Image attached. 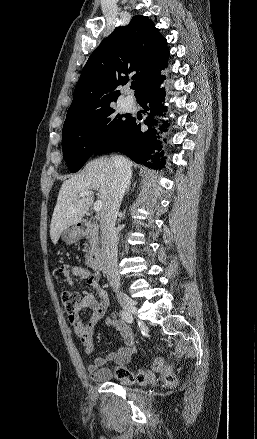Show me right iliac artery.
I'll return each mask as SVG.
<instances>
[{
  "label": "right iliac artery",
  "instance_id": "obj_1",
  "mask_svg": "<svg viewBox=\"0 0 257 439\" xmlns=\"http://www.w3.org/2000/svg\"><path fill=\"white\" fill-rule=\"evenodd\" d=\"M120 316L122 317V319H124L126 322L128 323H132L133 322V317L132 315H130L128 312L126 311H120Z\"/></svg>",
  "mask_w": 257,
  "mask_h": 439
}]
</instances>
